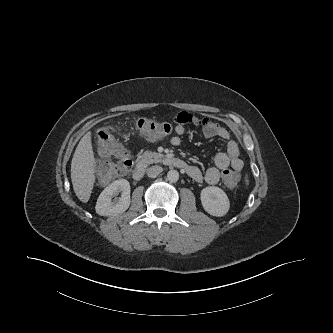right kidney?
Here are the masks:
<instances>
[{
	"mask_svg": "<svg viewBox=\"0 0 333 333\" xmlns=\"http://www.w3.org/2000/svg\"><path fill=\"white\" fill-rule=\"evenodd\" d=\"M121 192L120 198L111 200ZM130 184L126 179H119L107 186L96 202V213L101 216H112L125 212L130 205Z\"/></svg>",
	"mask_w": 333,
	"mask_h": 333,
	"instance_id": "ca27d5eb",
	"label": "right kidney"
}]
</instances>
